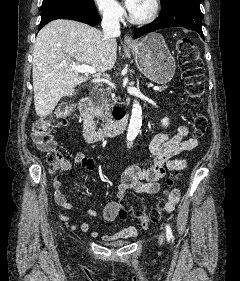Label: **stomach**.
Here are the masks:
<instances>
[{
	"label": "stomach",
	"instance_id": "0dacf381",
	"mask_svg": "<svg viewBox=\"0 0 240 281\" xmlns=\"http://www.w3.org/2000/svg\"><path fill=\"white\" fill-rule=\"evenodd\" d=\"M128 49L139 70L151 81L165 84L173 78L176 62L160 34L147 35Z\"/></svg>",
	"mask_w": 240,
	"mask_h": 281
}]
</instances>
